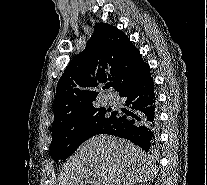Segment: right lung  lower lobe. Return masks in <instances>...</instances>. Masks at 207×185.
Wrapping results in <instances>:
<instances>
[{"label": "right lung lower lobe", "mask_w": 207, "mask_h": 185, "mask_svg": "<svg viewBox=\"0 0 207 185\" xmlns=\"http://www.w3.org/2000/svg\"><path fill=\"white\" fill-rule=\"evenodd\" d=\"M128 109L115 111L116 119L106 125L99 134H111L130 140L149 151L157 134V110L154 82L150 73L121 84L117 89Z\"/></svg>", "instance_id": "1"}]
</instances>
